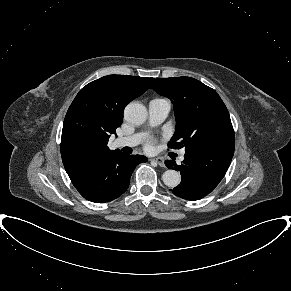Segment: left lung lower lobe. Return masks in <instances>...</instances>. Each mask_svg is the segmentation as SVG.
<instances>
[{"instance_id": "obj_1", "label": "left lung lower lobe", "mask_w": 291, "mask_h": 291, "mask_svg": "<svg viewBox=\"0 0 291 291\" xmlns=\"http://www.w3.org/2000/svg\"><path fill=\"white\" fill-rule=\"evenodd\" d=\"M233 154L232 147L198 148L185 151L181 165L166 160L169 169H178L181 173V183L172 192L187 200L208 195L225 176Z\"/></svg>"}]
</instances>
